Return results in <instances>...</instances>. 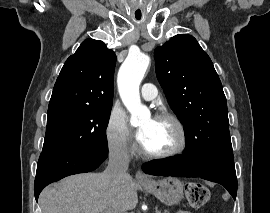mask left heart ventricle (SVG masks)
Returning a JSON list of instances; mask_svg holds the SVG:
<instances>
[{"mask_svg":"<svg viewBox=\"0 0 270 213\" xmlns=\"http://www.w3.org/2000/svg\"><path fill=\"white\" fill-rule=\"evenodd\" d=\"M140 129L147 130L142 146L148 152H165L179 143V133L174 124L168 120L147 119Z\"/></svg>","mask_w":270,"mask_h":213,"instance_id":"1","label":"left heart ventricle"}]
</instances>
